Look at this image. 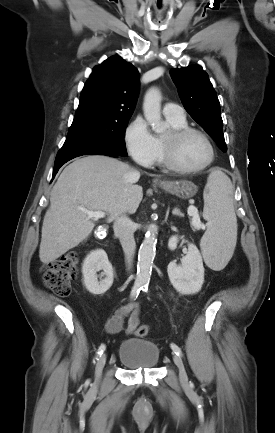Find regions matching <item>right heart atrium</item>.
<instances>
[{"label": "right heart atrium", "mask_w": 275, "mask_h": 433, "mask_svg": "<svg viewBox=\"0 0 275 433\" xmlns=\"http://www.w3.org/2000/svg\"><path fill=\"white\" fill-rule=\"evenodd\" d=\"M124 140L130 156L139 165L149 167L155 163L159 152L157 139L142 116L127 126Z\"/></svg>", "instance_id": "1"}]
</instances>
